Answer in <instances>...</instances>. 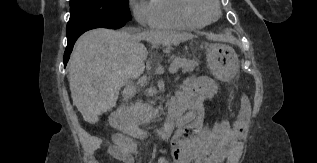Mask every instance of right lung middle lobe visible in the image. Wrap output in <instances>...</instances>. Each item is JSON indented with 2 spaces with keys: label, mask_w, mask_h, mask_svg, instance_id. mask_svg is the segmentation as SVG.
Returning a JSON list of instances; mask_svg holds the SVG:
<instances>
[{
  "label": "right lung middle lobe",
  "mask_w": 317,
  "mask_h": 163,
  "mask_svg": "<svg viewBox=\"0 0 317 163\" xmlns=\"http://www.w3.org/2000/svg\"><path fill=\"white\" fill-rule=\"evenodd\" d=\"M128 0H70L67 37L99 22L131 20Z\"/></svg>",
  "instance_id": "right-lung-middle-lobe-1"
}]
</instances>
